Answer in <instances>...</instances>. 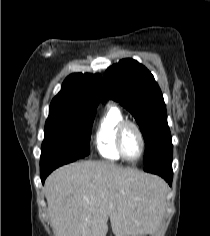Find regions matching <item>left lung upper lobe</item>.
<instances>
[{"mask_svg":"<svg viewBox=\"0 0 210 236\" xmlns=\"http://www.w3.org/2000/svg\"><path fill=\"white\" fill-rule=\"evenodd\" d=\"M118 101L137 121L145 140L143 163L172 145L166 106L153 75L133 59L109 67L103 78L101 101Z\"/></svg>","mask_w":210,"mask_h":236,"instance_id":"1","label":"left lung upper lobe"}]
</instances>
